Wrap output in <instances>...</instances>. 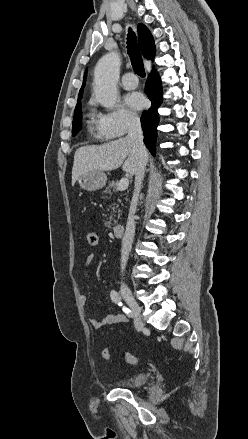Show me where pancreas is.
Listing matches in <instances>:
<instances>
[{"instance_id": "pancreas-1", "label": "pancreas", "mask_w": 248, "mask_h": 439, "mask_svg": "<svg viewBox=\"0 0 248 439\" xmlns=\"http://www.w3.org/2000/svg\"><path fill=\"white\" fill-rule=\"evenodd\" d=\"M117 186H118V181H112V182H109V184H108V186L105 188V190L103 191V193H111V190L113 189V191L115 190V189H117ZM118 201V203H115L114 205H116V208L118 207V204L119 203H121V200L120 199H118L117 200ZM113 209H115V207H113ZM112 217V216H111ZM110 217V218H111ZM106 224V226L108 227V228H111V226H113V225H115L116 224V221H114L113 223L111 222V221H108V222H106L105 223Z\"/></svg>"}]
</instances>
